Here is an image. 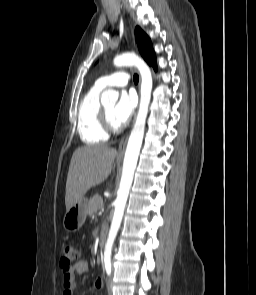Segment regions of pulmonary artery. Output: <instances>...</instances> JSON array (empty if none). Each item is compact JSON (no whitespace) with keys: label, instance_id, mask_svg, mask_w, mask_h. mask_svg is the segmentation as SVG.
Masks as SVG:
<instances>
[{"label":"pulmonary artery","instance_id":"pulmonary-artery-1","mask_svg":"<svg viewBox=\"0 0 256 295\" xmlns=\"http://www.w3.org/2000/svg\"><path fill=\"white\" fill-rule=\"evenodd\" d=\"M130 76L125 71H116L110 75L101 77L96 84L101 88L124 87L128 84Z\"/></svg>","mask_w":256,"mask_h":295}]
</instances>
